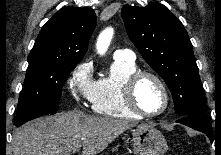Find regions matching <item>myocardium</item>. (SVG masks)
Wrapping results in <instances>:
<instances>
[{
    "label": "myocardium",
    "instance_id": "obj_1",
    "mask_svg": "<svg viewBox=\"0 0 221 155\" xmlns=\"http://www.w3.org/2000/svg\"><path fill=\"white\" fill-rule=\"evenodd\" d=\"M146 77L153 79L160 86L164 95V105L157 112H146L139 106L137 102L136 90L138 84L143 78ZM123 96L129 110L141 117L152 118L160 116L167 111L170 104V94L167 85L160 76L151 71H136L130 75L123 86Z\"/></svg>",
    "mask_w": 221,
    "mask_h": 155
}]
</instances>
